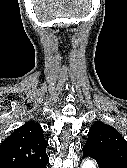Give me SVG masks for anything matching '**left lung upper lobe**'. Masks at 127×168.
I'll use <instances>...</instances> for the list:
<instances>
[{
	"instance_id": "5c2ea615",
	"label": "left lung upper lobe",
	"mask_w": 127,
	"mask_h": 168,
	"mask_svg": "<svg viewBox=\"0 0 127 168\" xmlns=\"http://www.w3.org/2000/svg\"><path fill=\"white\" fill-rule=\"evenodd\" d=\"M98 144L107 148L123 168H127V142L112 126L95 122L89 132L86 145Z\"/></svg>"
}]
</instances>
